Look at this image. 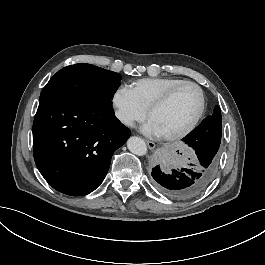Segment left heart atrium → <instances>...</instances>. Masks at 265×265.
Returning a JSON list of instances; mask_svg holds the SVG:
<instances>
[{
    "label": "left heart atrium",
    "instance_id": "obj_1",
    "mask_svg": "<svg viewBox=\"0 0 265 265\" xmlns=\"http://www.w3.org/2000/svg\"><path fill=\"white\" fill-rule=\"evenodd\" d=\"M142 132L149 135V136H152V137H156V138H159V137H162L161 136V133L159 132L155 122L153 120H148L141 128Z\"/></svg>",
    "mask_w": 265,
    "mask_h": 265
}]
</instances>
